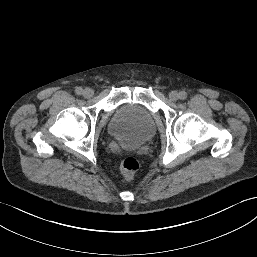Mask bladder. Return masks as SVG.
I'll use <instances>...</instances> for the list:
<instances>
[{
	"label": "bladder",
	"mask_w": 257,
	"mask_h": 257,
	"mask_svg": "<svg viewBox=\"0 0 257 257\" xmlns=\"http://www.w3.org/2000/svg\"><path fill=\"white\" fill-rule=\"evenodd\" d=\"M109 133L129 147H138L151 140L156 132L152 115L138 105H124L108 123Z\"/></svg>",
	"instance_id": "31cf9c89"
}]
</instances>
